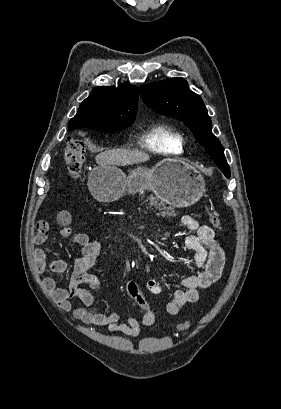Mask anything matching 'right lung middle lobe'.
<instances>
[{
    "mask_svg": "<svg viewBox=\"0 0 281 409\" xmlns=\"http://www.w3.org/2000/svg\"><path fill=\"white\" fill-rule=\"evenodd\" d=\"M130 125H123V126H89L87 128L99 130V131H107V132H114L126 128Z\"/></svg>",
    "mask_w": 281,
    "mask_h": 409,
    "instance_id": "1",
    "label": "right lung middle lobe"
}]
</instances>
